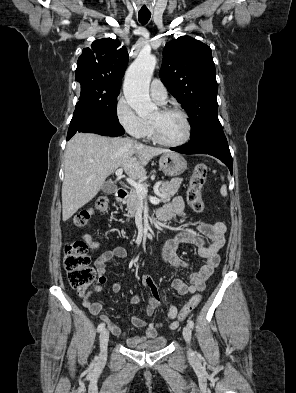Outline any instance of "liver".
Returning <instances> with one entry per match:
<instances>
[{
	"mask_svg": "<svg viewBox=\"0 0 296 393\" xmlns=\"http://www.w3.org/2000/svg\"><path fill=\"white\" fill-rule=\"evenodd\" d=\"M170 152L138 144L129 138L76 133L67 143L64 155L62 220L67 221L91 201L116 169H124L132 179H143L148 162Z\"/></svg>",
	"mask_w": 296,
	"mask_h": 393,
	"instance_id": "1",
	"label": "liver"
}]
</instances>
